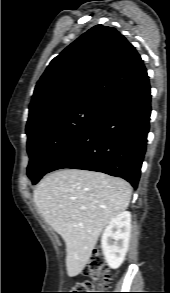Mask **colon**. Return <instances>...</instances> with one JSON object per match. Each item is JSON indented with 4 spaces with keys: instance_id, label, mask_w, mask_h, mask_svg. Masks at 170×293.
<instances>
[{
    "instance_id": "colon-1",
    "label": "colon",
    "mask_w": 170,
    "mask_h": 293,
    "mask_svg": "<svg viewBox=\"0 0 170 293\" xmlns=\"http://www.w3.org/2000/svg\"><path fill=\"white\" fill-rule=\"evenodd\" d=\"M84 275L88 277L86 282H78L73 288V293H100L93 292L96 287L94 282H98L101 285H108L112 281L110 272L105 267V260L102 249L96 247L90 256L84 271Z\"/></svg>"
}]
</instances>
